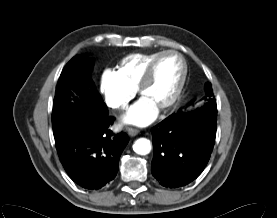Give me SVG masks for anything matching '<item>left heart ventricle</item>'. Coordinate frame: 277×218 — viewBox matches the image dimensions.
Instances as JSON below:
<instances>
[{
    "label": "left heart ventricle",
    "instance_id": "left-heart-ventricle-1",
    "mask_svg": "<svg viewBox=\"0 0 277 218\" xmlns=\"http://www.w3.org/2000/svg\"><path fill=\"white\" fill-rule=\"evenodd\" d=\"M182 74V63L175 55L163 57L157 64L154 76L142 95L157 107L167 102L174 93Z\"/></svg>",
    "mask_w": 277,
    "mask_h": 218
}]
</instances>
